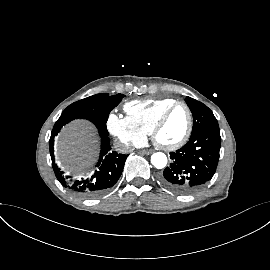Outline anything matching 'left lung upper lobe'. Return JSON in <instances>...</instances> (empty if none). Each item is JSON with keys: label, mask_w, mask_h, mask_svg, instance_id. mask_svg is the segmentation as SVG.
<instances>
[{"label": "left lung upper lobe", "mask_w": 270, "mask_h": 270, "mask_svg": "<svg viewBox=\"0 0 270 270\" xmlns=\"http://www.w3.org/2000/svg\"><path fill=\"white\" fill-rule=\"evenodd\" d=\"M185 101L194 119L191 136L204 129H219L213 112L206 105L191 97H186Z\"/></svg>", "instance_id": "1"}]
</instances>
